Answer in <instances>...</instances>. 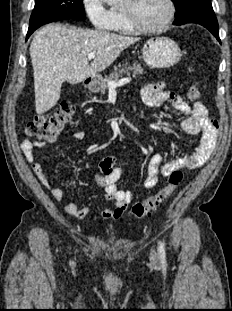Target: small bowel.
<instances>
[{
	"mask_svg": "<svg viewBox=\"0 0 232 311\" xmlns=\"http://www.w3.org/2000/svg\"><path fill=\"white\" fill-rule=\"evenodd\" d=\"M142 101L150 108L159 107L165 102L171 103L176 110L188 115L181 122L182 129L188 134L200 135L199 145L191 155L179 157L166 163H163L164 159L161 154L153 155L143 179V186L146 189L154 188L158 183L159 176H168L175 170L190 171L204 165L210 158L219 135L218 123L207 116L206 107L201 102L188 104L174 92L166 90L163 82L148 83L142 90ZM72 137L81 141L85 139L86 133L76 131ZM45 145L46 143L42 140L27 138L21 143L20 148L41 183L50 189L56 200L60 201L63 199L62 190L51 183L43 165L34 157V149L42 148ZM116 161L117 157L115 156L104 157L100 162L101 173L93 177L95 184L104 190V199L113 202V207H107L101 211L100 217L103 220H119L126 206L134 200L131 191L118 188L117 182L121 177L122 167L116 164ZM64 209L77 219L85 218L89 212V206L80 207L77 201L65 203Z\"/></svg>",
	"mask_w": 232,
	"mask_h": 311,
	"instance_id": "1",
	"label": "small bowel"
}]
</instances>
